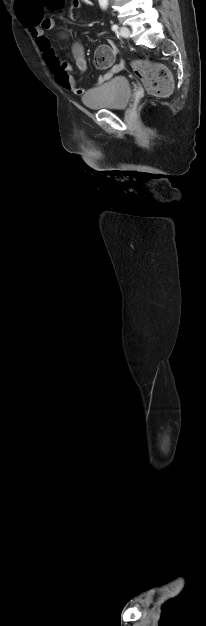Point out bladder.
I'll return each instance as SVG.
<instances>
[{"instance_id":"1","label":"bladder","mask_w":206,"mask_h":626,"mask_svg":"<svg viewBox=\"0 0 206 626\" xmlns=\"http://www.w3.org/2000/svg\"><path fill=\"white\" fill-rule=\"evenodd\" d=\"M132 97V87L127 78L115 76L82 96V103L92 110H121Z\"/></svg>"}]
</instances>
